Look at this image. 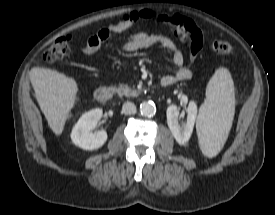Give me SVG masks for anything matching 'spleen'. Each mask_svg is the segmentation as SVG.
<instances>
[{
	"mask_svg": "<svg viewBox=\"0 0 275 215\" xmlns=\"http://www.w3.org/2000/svg\"><path fill=\"white\" fill-rule=\"evenodd\" d=\"M235 113L234 83L229 70L218 68L206 88V99L199 109L197 134L202 153L209 158L222 149Z\"/></svg>",
	"mask_w": 275,
	"mask_h": 215,
	"instance_id": "obj_1",
	"label": "spleen"
}]
</instances>
